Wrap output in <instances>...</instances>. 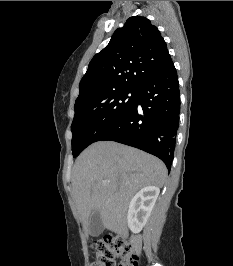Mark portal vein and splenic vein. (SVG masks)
I'll list each match as a JSON object with an SVG mask.
<instances>
[{
	"mask_svg": "<svg viewBox=\"0 0 233 266\" xmlns=\"http://www.w3.org/2000/svg\"><path fill=\"white\" fill-rule=\"evenodd\" d=\"M107 182H109V181H108V180H104V181H103L104 184L107 183Z\"/></svg>",
	"mask_w": 233,
	"mask_h": 266,
	"instance_id": "portal-vein-and-splenic-vein-1",
	"label": "portal vein and splenic vein"
}]
</instances>
